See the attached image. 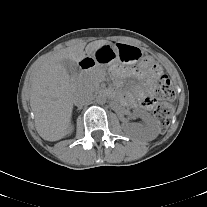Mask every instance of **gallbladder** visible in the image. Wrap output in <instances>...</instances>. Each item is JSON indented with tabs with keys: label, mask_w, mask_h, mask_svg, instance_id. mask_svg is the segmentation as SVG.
I'll return each mask as SVG.
<instances>
[{
	"label": "gallbladder",
	"mask_w": 207,
	"mask_h": 207,
	"mask_svg": "<svg viewBox=\"0 0 207 207\" xmlns=\"http://www.w3.org/2000/svg\"><path fill=\"white\" fill-rule=\"evenodd\" d=\"M61 63L69 72H73L76 69V64L70 59H64Z\"/></svg>",
	"instance_id": "1"
}]
</instances>
